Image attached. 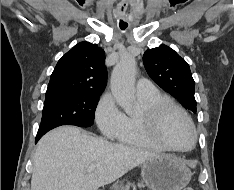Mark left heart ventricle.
I'll list each match as a JSON object with an SVG mask.
<instances>
[{
	"mask_svg": "<svg viewBox=\"0 0 234 190\" xmlns=\"http://www.w3.org/2000/svg\"><path fill=\"white\" fill-rule=\"evenodd\" d=\"M166 140L177 147H188L192 142V132L186 120L177 112L167 114L162 125Z\"/></svg>",
	"mask_w": 234,
	"mask_h": 190,
	"instance_id": "1",
	"label": "left heart ventricle"
}]
</instances>
